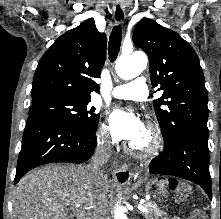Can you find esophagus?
Masks as SVG:
<instances>
[{"label":"esophagus","mask_w":221,"mask_h":219,"mask_svg":"<svg viewBox=\"0 0 221 219\" xmlns=\"http://www.w3.org/2000/svg\"><path fill=\"white\" fill-rule=\"evenodd\" d=\"M113 20L115 24H122L125 20V10L119 3L114 5L113 8Z\"/></svg>","instance_id":"obj_1"}]
</instances>
